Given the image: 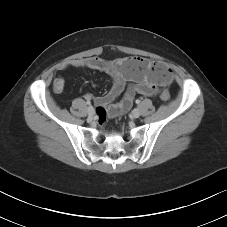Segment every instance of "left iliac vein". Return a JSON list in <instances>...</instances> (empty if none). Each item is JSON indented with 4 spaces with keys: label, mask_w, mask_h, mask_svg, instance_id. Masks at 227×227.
<instances>
[{
    "label": "left iliac vein",
    "mask_w": 227,
    "mask_h": 227,
    "mask_svg": "<svg viewBox=\"0 0 227 227\" xmlns=\"http://www.w3.org/2000/svg\"><path fill=\"white\" fill-rule=\"evenodd\" d=\"M131 114H132V117L138 118L140 116V110L135 108Z\"/></svg>",
    "instance_id": "4c4485c4"
}]
</instances>
